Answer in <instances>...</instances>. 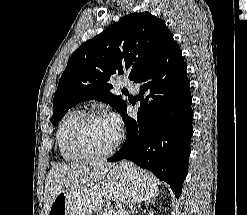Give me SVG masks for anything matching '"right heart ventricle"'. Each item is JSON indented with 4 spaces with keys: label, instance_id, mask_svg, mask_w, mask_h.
<instances>
[{
    "label": "right heart ventricle",
    "instance_id": "1",
    "mask_svg": "<svg viewBox=\"0 0 247 215\" xmlns=\"http://www.w3.org/2000/svg\"><path fill=\"white\" fill-rule=\"evenodd\" d=\"M81 115L79 110L69 111L59 122L56 131V142L63 160L67 162H77L81 158L74 153L70 142V133L73 124Z\"/></svg>",
    "mask_w": 247,
    "mask_h": 215
}]
</instances>
